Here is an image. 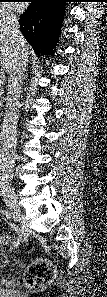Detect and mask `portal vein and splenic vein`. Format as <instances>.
<instances>
[{"instance_id":"18ae733b","label":"portal vein and splenic vein","mask_w":107,"mask_h":297,"mask_svg":"<svg viewBox=\"0 0 107 297\" xmlns=\"http://www.w3.org/2000/svg\"><path fill=\"white\" fill-rule=\"evenodd\" d=\"M5 79V76L4 75H1L0 76V81H3Z\"/></svg>"}]
</instances>
